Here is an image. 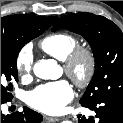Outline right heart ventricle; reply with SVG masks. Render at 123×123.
<instances>
[{
  "instance_id": "1",
  "label": "right heart ventricle",
  "mask_w": 123,
  "mask_h": 123,
  "mask_svg": "<svg viewBox=\"0 0 123 123\" xmlns=\"http://www.w3.org/2000/svg\"><path fill=\"white\" fill-rule=\"evenodd\" d=\"M77 39L68 33H53L40 42V48L48 55L63 61L66 56L77 46Z\"/></svg>"
}]
</instances>
